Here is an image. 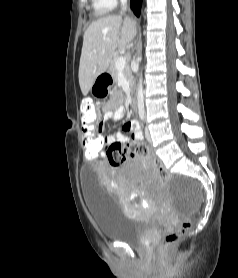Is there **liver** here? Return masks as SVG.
Masks as SVG:
<instances>
[{
    "label": "liver",
    "instance_id": "liver-1",
    "mask_svg": "<svg viewBox=\"0 0 238 278\" xmlns=\"http://www.w3.org/2000/svg\"><path fill=\"white\" fill-rule=\"evenodd\" d=\"M137 34L136 21L109 15L93 21L84 33L79 85L85 96L96 78L107 71L115 50L125 49Z\"/></svg>",
    "mask_w": 238,
    "mask_h": 278
}]
</instances>
